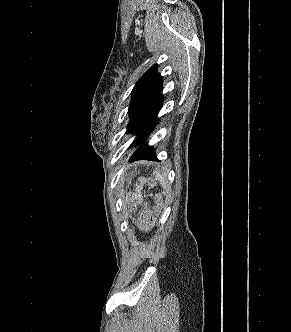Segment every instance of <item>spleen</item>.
I'll use <instances>...</instances> for the list:
<instances>
[{
    "label": "spleen",
    "instance_id": "3e777b00",
    "mask_svg": "<svg viewBox=\"0 0 291 332\" xmlns=\"http://www.w3.org/2000/svg\"><path fill=\"white\" fill-rule=\"evenodd\" d=\"M153 174L155 175L156 180H158L163 188H166L168 186L166 176L161 174L159 171H153Z\"/></svg>",
    "mask_w": 291,
    "mask_h": 332
}]
</instances>
